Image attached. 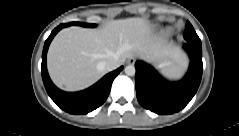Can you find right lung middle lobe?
Segmentation results:
<instances>
[{
	"instance_id": "right-lung-middle-lobe-1",
	"label": "right lung middle lobe",
	"mask_w": 239,
	"mask_h": 136,
	"mask_svg": "<svg viewBox=\"0 0 239 136\" xmlns=\"http://www.w3.org/2000/svg\"><path fill=\"white\" fill-rule=\"evenodd\" d=\"M71 25H78V26H83V27H95V24H88V23H80V22H71V23H66L65 26H71Z\"/></svg>"
}]
</instances>
